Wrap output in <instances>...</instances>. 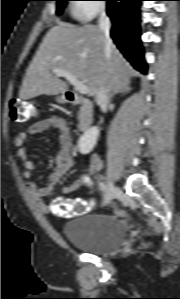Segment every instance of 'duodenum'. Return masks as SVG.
I'll list each match as a JSON object with an SVG mask.
<instances>
[{"instance_id":"duodenum-1","label":"duodenum","mask_w":180,"mask_h":299,"mask_svg":"<svg viewBox=\"0 0 180 299\" xmlns=\"http://www.w3.org/2000/svg\"><path fill=\"white\" fill-rule=\"evenodd\" d=\"M66 98L70 103L80 106L81 114L78 125L83 131L88 130L92 124L93 117V107L90 100L72 91L66 92Z\"/></svg>"}]
</instances>
